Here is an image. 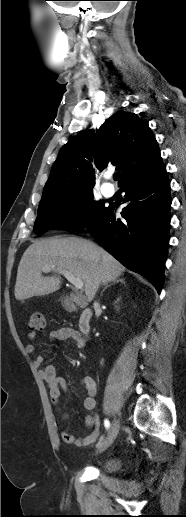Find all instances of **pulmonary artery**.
I'll return each mask as SVG.
<instances>
[{"label":"pulmonary artery","instance_id":"obj_1","mask_svg":"<svg viewBox=\"0 0 186 517\" xmlns=\"http://www.w3.org/2000/svg\"><path fill=\"white\" fill-rule=\"evenodd\" d=\"M101 191H102V193H103V195H104L105 197H111V196H113V194H114V189H113V187H112L109 183H107V182H104V183L102 184V186H101Z\"/></svg>","mask_w":186,"mask_h":517}]
</instances>
